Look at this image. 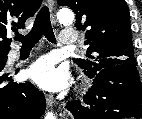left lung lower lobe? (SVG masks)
<instances>
[{
    "label": "left lung lower lobe",
    "instance_id": "obj_1",
    "mask_svg": "<svg viewBox=\"0 0 142 119\" xmlns=\"http://www.w3.org/2000/svg\"><path fill=\"white\" fill-rule=\"evenodd\" d=\"M86 75L94 77L84 96L86 106L80 101L67 105L75 119L142 118V86L136 64H119Z\"/></svg>",
    "mask_w": 142,
    "mask_h": 119
}]
</instances>
